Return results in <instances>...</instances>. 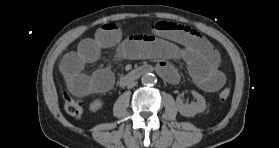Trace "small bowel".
<instances>
[{
    "label": "small bowel",
    "mask_w": 279,
    "mask_h": 148,
    "mask_svg": "<svg viewBox=\"0 0 279 148\" xmlns=\"http://www.w3.org/2000/svg\"><path fill=\"white\" fill-rule=\"evenodd\" d=\"M110 47H116L118 59H158V73L172 84L179 81L180 74L169 60L184 62L196 85L206 92H216L225 83L219 53L193 28L160 21L149 34L124 38L117 25L107 23L62 58L60 71L71 93L85 96L108 91L113 86L114 75L108 69L91 75L84 72L86 65L96 62L102 50Z\"/></svg>",
    "instance_id": "small-bowel-1"
}]
</instances>
